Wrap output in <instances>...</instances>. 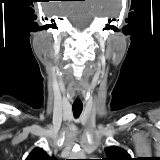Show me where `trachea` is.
<instances>
[{
  "label": "trachea",
  "mask_w": 160,
  "mask_h": 160,
  "mask_svg": "<svg viewBox=\"0 0 160 160\" xmlns=\"http://www.w3.org/2000/svg\"><path fill=\"white\" fill-rule=\"evenodd\" d=\"M73 114L77 118L83 110V105H73L72 106Z\"/></svg>",
  "instance_id": "trachea-1"
}]
</instances>
